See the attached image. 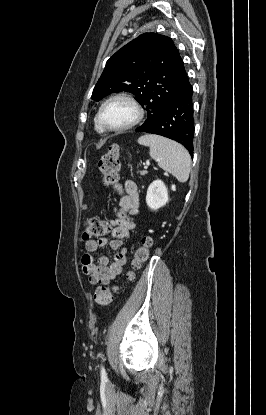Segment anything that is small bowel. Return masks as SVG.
<instances>
[{"instance_id": "1", "label": "small bowel", "mask_w": 266, "mask_h": 415, "mask_svg": "<svg viewBox=\"0 0 266 415\" xmlns=\"http://www.w3.org/2000/svg\"><path fill=\"white\" fill-rule=\"evenodd\" d=\"M126 194L119 200V209L123 213L130 214V217L118 218L112 235L113 239L107 238L91 239L85 242L86 253L81 258L83 273L93 285H106L115 280L123 271L127 262V252L122 248V241L130 236L131 230L135 227L133 217L139 212V194L134 182L127 181ZM109 247L117 251L113 261L105 255L94 258L91 253L100 248Z\"/></svg>"}]
</instances>
